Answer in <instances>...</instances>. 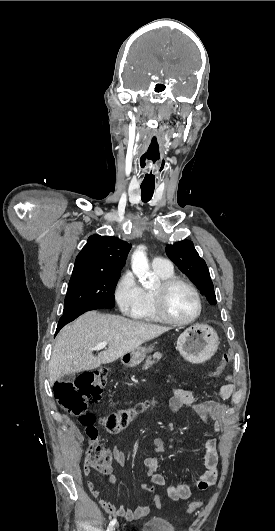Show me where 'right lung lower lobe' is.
Wrapping results in <instances>:
<instances>
[{"label": "right lung lower lobe", "mask_w": 275, "mask_h": 531, "mask_svg": "<svg viewBox=\"0 0 275 531\" xmlns=\"http://www.w3.org/2000/svg\"><path fill=\"white\" fill-rule=\"evenodd\" d=\"M87 311H73L70 313L63 314L58 322V327L56 329V334L60 331V329L65 326L67 323L73 321L81 314L85 313Z\"/></svg>", "instance_id": "1"}]
</instances>
